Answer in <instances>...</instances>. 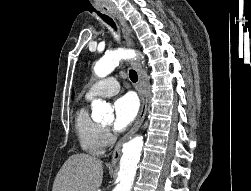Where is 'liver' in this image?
Here are the masks:
<instances>
[{
	"label": "liver",
	"mask_w": 251,
	"mask_h": 191,
	"mask_svg": "<svg viewBox=\"0 0 251 191\" xmlns=\"http://www.w3.org/2000/svg\"><path fill=\"white\" fill-rule=\"evenodd\" d=\"M102 179L101 159L88 153H74L59 169L52 191H97Z\"/></svg>",
	"instance_id": "obj_1"
}]
</instances>
